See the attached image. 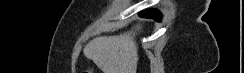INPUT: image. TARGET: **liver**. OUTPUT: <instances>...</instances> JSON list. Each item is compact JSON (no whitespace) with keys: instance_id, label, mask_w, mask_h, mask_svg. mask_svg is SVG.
<instances>
[{"instance_id":"1","label":"liver","mask_w":244,"mask_h":73,"mask_svg":"<svg viewBox=\"0 0 244 73\" xmlns=\"http://www.w3.org/2000/svg\"><path fill=\"white\" fill-rule=\"evenodd\" d=\"M141 28L136 25L135 31L95 38L84 47V54L103 73H136L138 47L134 37Z\"/></svg>"}]
</instances>
